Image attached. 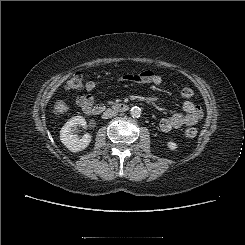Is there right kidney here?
Wrapping results in <instances>:
<instances>
[{
	"label": "right kidney",
	"mask_w": 245,
	"mask_h": 245,
	"mask_svg": "<svg viewBox=\"0 0 245 245\" xmlns=\"http://www.w3.org/2000/svg\"><path fill=\"white\" fill-rule=\"evenodd\" d=\"M78 125L86 127V120L82 116L70 118L60 131V140L71 152H79L84 150L91 142V135L86 133L82 138L73 133V128Z\"/></svg>",
	"instance_id": "1"
}]
</instances>
